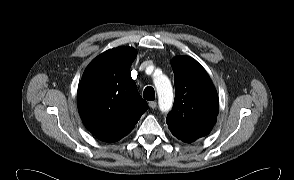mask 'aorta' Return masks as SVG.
<instances>
[{"label": "aorta", "instance_id": "762f6f07", "mask_svg": "<svg viewBox=\"0 0 294 180\" xmlns=\"http://www.w3.org/2000/svg\"><path fill=\"white\" fill-rule=\"evenodd\" d=\"M154 84L158 94L159 108L166 112L173 105V89L169 78L164 74H159L154 77Z\"/></svg>", "mask_w": 294, "mask_h": 180}]
</instances>
